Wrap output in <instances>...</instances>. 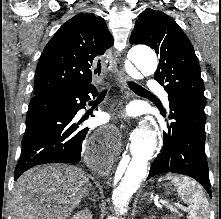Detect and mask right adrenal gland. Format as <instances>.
I'll list each match as a JSON object with an SVG mask.
<instances>
[{
	"mask_svg": "<svg viewBox=\"0 0 221 219\" xmlns=\"http://www.w3.org/2000/svg\"><path fill=\"white\" fill-rule=\"evenodd\" d=\"M90 191H91L90 194H89V192L86 194V198H88L90 201H94L95 202V199H93L90 196H93L95 198L96 197V193H95V191L93 190L92 187H90Z\"/></svg>",
	"mask_w": 221,
	"mask_h": 219,
	"instance_id": "2a0ac1e0",
	"label": "right adrenal gland"
}]
</instances>
